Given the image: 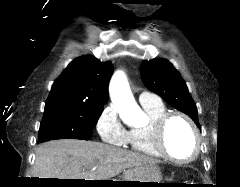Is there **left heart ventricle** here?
<instances>
[{
	"label": "left heart ventricle",
	"mask_w": 240,
	"mask_h": 187,
	"mask_svg": "<svg viewBox=\"0 0 240 187\" xmlns=\"http://www.w3.org/2000/svg\"><path fill=\"white\" fill-rule=\"evenodd\" d=\"M165 146L178 159H187L194 153L195 140L188 124L179 117L172 118L166 128Z\"/></svg>",
	"instance_id": "obj_1"
}]
</instances>
